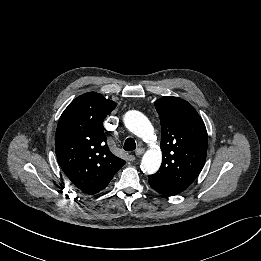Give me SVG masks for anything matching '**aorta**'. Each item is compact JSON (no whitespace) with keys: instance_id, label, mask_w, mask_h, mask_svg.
<instances>
[{"instance_id":"762f6f07","label":"aorta","mask_w":261,"mask_h":261,"mask_svg":"<svg viewBox=\"0 0 261 261\" xmlns=\"http://www.w3.org/2000/svg\"><path fill=\"white\" fill-rule=\"evenodd\" d=\"M126 128L147 143L154 140V128L148 118L139 111L131 110L125 114ZM162 162V152L159 147L152 146L143 156L141 170L147 174L156 173Z\"/></svg>"}]
</instances>
